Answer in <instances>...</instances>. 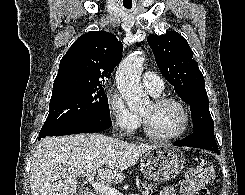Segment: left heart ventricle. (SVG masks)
<instances>
[{"mask_svg": "<svg viewBox=\"0 0 245 195\" xmlns=\"http://www.w3.org/2000/svg\"><path fill=\"white\" fill-rule=\"evenodd\" d=\"M144 116L150 129L161 135L177 132L183 125L184 116L175 104H164L158 107L149 102L140 112Z\"/></svg>", "mask_w": 245, "mask_h": 195, "instance_id": "b2bd125f", "label": "left heart ventricle"}]
</instances>
